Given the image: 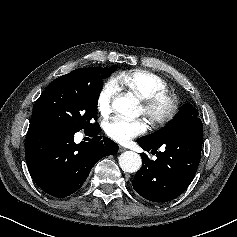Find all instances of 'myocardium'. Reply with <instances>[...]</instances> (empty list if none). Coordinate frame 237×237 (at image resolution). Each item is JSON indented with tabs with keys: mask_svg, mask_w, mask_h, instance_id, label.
<instances>
[{
	"mask_svg": "<svg viewBox=\"0 0 237 237\" xmlns=\"http://www.w3.org/2000/svg\"><path fill=\"white\" fill-rule=\"evenodd\" d=\"M142 113L152 127H160L172 120L178 112V98L168 92L156 93L141 99Z\"/></svg>",
	"mask_w": 237,
	"mask_h": 237,
	"instance_id": "obj_1",
	"label": "myocardium"
}]
</instances>
